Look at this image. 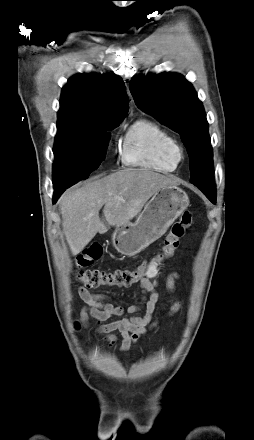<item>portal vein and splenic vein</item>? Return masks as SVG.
Instances as JSON below:
<instances>
[{
  "label": "portal vein and splenic vein",
  "instance_id": "18ae733b",
  "mask_svg": "<svg viewBox=\"0 0 254 440\" xmlns=\"http://www.w3.org/2000/svg\"><path fill=\"white\" fill-rule=\"evenodd\" d=\"M116 198H117V199H120V200H122V198H121V197H118V196H116Z\"/></svg>",
  "mask_w": 254,
  "mask_h": 440
}]
</instances>
